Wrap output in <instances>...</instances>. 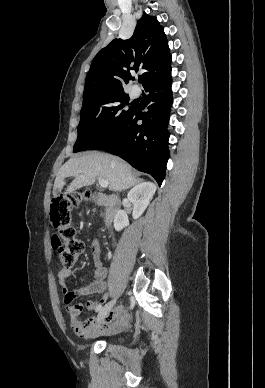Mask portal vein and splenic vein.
Here are the masks:
<instances>
[{
  "mask_svg": "<svg viewBox=\"0 0 265 388\" xmlns=\"http://www.w3.org/2000/svg\"><path fill=\"white\" fill-rule=\"evenodd\" d=\"M98 180L101 188H108L109 186L108 180H104V178H98Z\"/></svg>",
  "mask_w": 265,
  "mask_h": 388,
  "instance_id": "18ae733b",
  "label": "portal vein and splenic vein"
}]
</instances>
